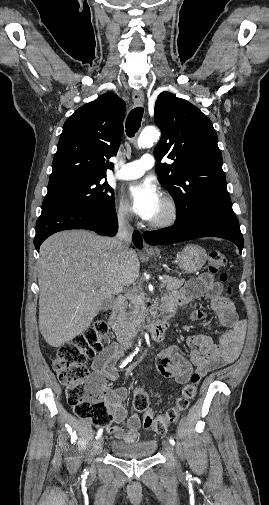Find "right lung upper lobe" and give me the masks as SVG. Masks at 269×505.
<instances>
[{
    "label": "right lung upper lobe",
    "mask_w": 269,
    "mask_h": 505,
    "mask_svg": "<svg viewBox=\"0 0 269 505\" xmlns=\"http://www.w3.org/2000/svg\"><path fill=\"white\" fill-rule=\"evenodd\" d=\"M125 102L105 93L77 109L63 126L48 188L103 179L123 135Z\"/></svg>",
    "instance_id": "cb5924a9"
}]
</instances>
